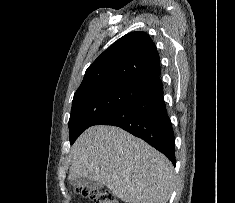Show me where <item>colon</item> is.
<instances>
[{"mask_svg": "<svg viewBox=\"0 0 235 203\" xmlns=\"http://www.w3.org/2000/svg\"><path fill=\"white\" fill-rule=\"evenodd\" d=\"M83 196L88 197L93 203H118L115 196L105 188H77Z\"/></svg>", "mask_w": 235, "mask_h": 203, "instance_id": "obj_1", "label": "colon"}]
</instances>
